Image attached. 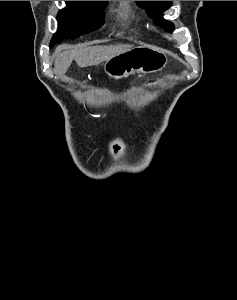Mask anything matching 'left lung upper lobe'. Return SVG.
Wrapping results in <instances>:
<instances>
[{
    "label": "left lung upper lobe",
    "mask_w": 237,
    "mask_h": 300,
    "mask_svg": "<svg viewBox=\"0 0 237 300\" xmlns=\"http://www.w3.org/2000/svg\"><path fill=\"white\" fill-rule=\"evenodd\" d=\"M137 3L139 6L146 8L148 14L156 19V24L170 32L174 30V25L162 18V12L170 7L171 1H137Z\"/></svg>",
    "instance_id": "left-lung-upper-lobe-1"
}]
</instances>
